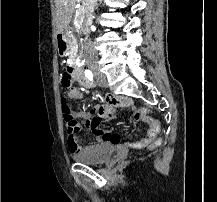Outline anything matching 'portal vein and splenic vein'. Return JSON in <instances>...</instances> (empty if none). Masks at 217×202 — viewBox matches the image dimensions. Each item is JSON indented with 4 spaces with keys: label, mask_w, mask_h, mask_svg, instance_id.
I'll return each instance as SVG.
<instances>
[{
    "label": "portal vein and splenic vein",
    "mask_w": 217,
    "mask_h": 202,
    "mask_svg": "<svg viewBox=\"0 0 217 202\" xmlns=\"http://www.w3.org/2000/svg\"><path fill=\"white\" fill-rule=\"evenodd\" d=\"M77 2H81V0H77Z\"/></svg>",
    "instance_id": "portal-vein-and-splenic-vein-1"
}]
</instances>
